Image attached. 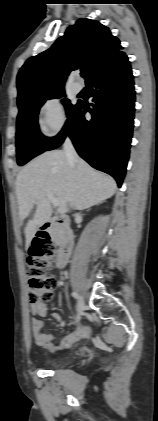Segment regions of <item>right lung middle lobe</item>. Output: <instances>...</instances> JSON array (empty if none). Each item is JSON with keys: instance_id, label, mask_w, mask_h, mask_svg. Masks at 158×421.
Listing matches in <instances>:
<instances>
[{"instance_id": "dd1d6c3e", "label": "right lung middle lobe", "mask_w": 158, "mask_h": 421, "mask_svg": "<svg viewBox=\"0 0 158 421\" xmlns=\"http://www.w3.org/2000/svg\"><path fill=\"white\" fill-rule=\"evenodd\" d=\"M64 90L39 95L23 103L18 104L19 114L17 117L16 151L18 165H24L35 156L43 153L53 138L44 137L38 127L37 119L40 107L46 99L59 98ZM69 117L76 105H72L68 99L62 100Z\"/></svg>"}]
</instances>
